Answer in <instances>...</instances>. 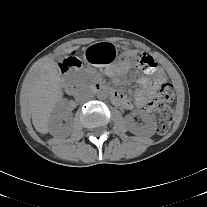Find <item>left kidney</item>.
Segmentation results:
<instances>
[{
    "mask_svg": "<svg viewBox=\"0 0 207 207\" xmlns=\"http://www.w3.org/2000/svg\"><path fill=\"white\" fill-rule=\"evenodd\" d=\"M139 116L144 121V125L138 126L136 125L131 116H126V122L128 125V129L131 133L135 135H142L146 137H151L154 135L156 131V124L153 121L150 114H148L146 111L140 110L138 111Z\"/></svg>",
    "mask_w": 207,
    "mask_h": 207,
    "instance_id": "left-kidney-1",
    "label": "left kidney"
}]
</instances>
